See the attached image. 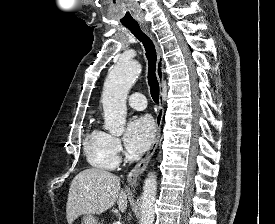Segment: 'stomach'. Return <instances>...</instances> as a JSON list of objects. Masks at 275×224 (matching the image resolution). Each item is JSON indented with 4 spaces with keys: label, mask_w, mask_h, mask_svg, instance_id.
I'll return each mask as SVG.
<instances>
[{
    "label": "stomach",
    "mask_w": 275,
    "mask_h": 224,
    "mask_svg": "<svg viewBox=\"0 0 275 224\" xmlns=\"http://www.w3.org/2000/svg\"><path fill=\"white\" fill-rule=\"evenodd\" d=\"M81 224H100L97 218L91 214L84 215L81 219Z\"/></svg>",
    "instance_id": "0dacf381"
}]
</instances>
